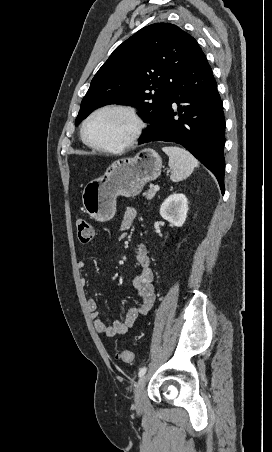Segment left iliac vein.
<instances>
[{
    "label": "left iliac vein",
    "mask_w": 272,
    "mask_h": 452,
    "mask_svg": "<svg viewBox=\"0 0 272 452\" xmlns=\"http://www.w3.org/2000/svg\"><path fill=\"white\" fill-rule=\"evenodd\" d=\"M146 381V375L141 376L135 387V404L138 410H140L143 405V393L146 386Z\"/></svg>",
    "instance_id": "left-iliac-vein-1"
}]
</instances>
